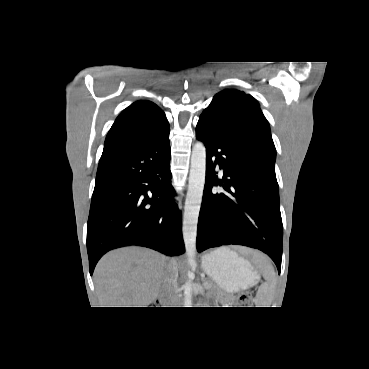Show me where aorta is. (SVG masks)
Instances as JSON below:
<instances>
[{
  "instance_id": "aorta-1",
  "label": "aorta",
  "mask_w": 369,
  "mask_h": 369,
  "mask_svg": "<svg viewBox=\"0 0 369 369\" xmlns=\"http://www.w3.org/2000/svg\"><path fill=\"white\" fill-rule=\"evenodd\" d=\"M206 176V148L197 141L192 149L188 191L185 200L182 233L189 266H195L198 217L202 202ZM191 272H188L190 275ZM184 307H192V283L187 280L183 286Z\"/></svg>"
}]
</instances>
